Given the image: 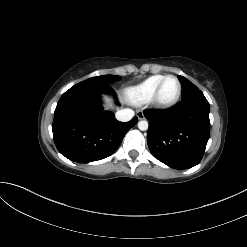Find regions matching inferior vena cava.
Masks as SVG:
<instances>
[{"instance_id":"1","label":"inferior vena cava","mask_w":247,"mask_h":247,"mask_svg":"<svg viewBox=\"0 0 247 247\" xmlns=\"http://www.w3.org/2000/svg\"><path fill=\"white\" fill-rule=\"evenodd\" d=\"M133 116H134V111L131 109H122L116 112V119L122 122L131 120Z\"/></svg>"}]
</instances>
